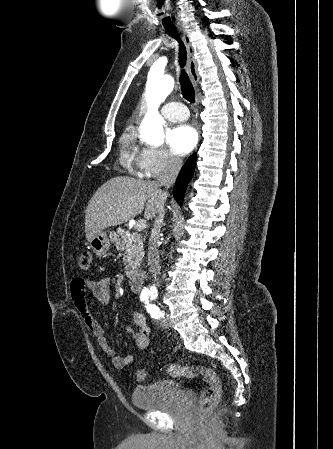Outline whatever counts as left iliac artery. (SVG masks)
<instances>
[{
  "mask_svg": "<svg viewBox=\"0 0 333 449\" xmlns=\"http://www.w3.org/2000/svg\"><path fill=\"white\" fill-rule=\"evenodd\" d=\"M145 307L147 308V311L150 313L152 318L158 319L164 315L156 305L149 304L148 300H146Z\"/></svg>",
  "mask_w": 333,
  "mask_h": 449,
  "instance_id": "44dca946",
  "label": "left iliac artery"
}]
</instances>
